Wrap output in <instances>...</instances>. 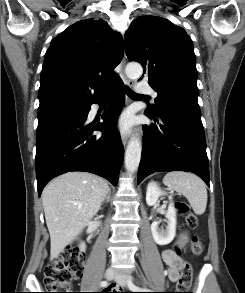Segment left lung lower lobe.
Wrapping results in <instances>:
<instances>
[{"instance_id":"0a47b994","label":"left lung lower lobe","mask_w":245,"mask_h":293,"mask_svg":"<svg viewBox=\"0 0 245 293\" xmlns=\"http://www.w3.org/2000/svg\"><path fill=\"white\" fill-rule=\"evenodd\" d=\"M145 114L159 124L145 126L138 184L154 172L189 171L209 186V163L200 113L180 106H164Z\"/></svg>"}]
</instances>
